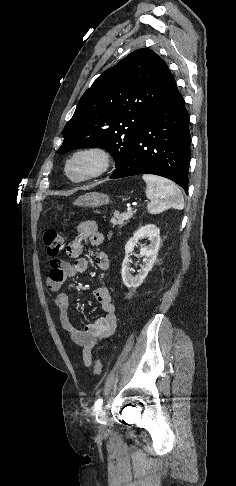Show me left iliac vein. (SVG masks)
I'll list each match as a JSON object with an SVG mask.
<instances>
[{
  "label": "left iliac vein",
  "mask_w": 236,
  "mask_h": 486,
  "mask_svg": "<svg viewBox=\"0 0 236 486\" xmlns=\"http://www.w3.org/2000/svg\"><path fill=\"white\" fill-rule=\"evenodd\" d=\"M97 415H98V422H99V426H98L99 433L104 434L106 432V422H107L105 409L100 408Z\"/></svg>",
  "instance_id": "left-iliac-vein-1"
}]
</instances>
